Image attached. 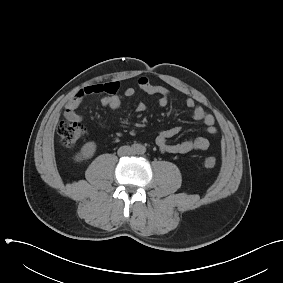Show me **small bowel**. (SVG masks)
<instances>
[{"label": "small bowel", "mask_w": 283, "mask_h": 283, "mask_svg": "<svg viewBox=\"0 0 283 283\" xmlns=\"http://www.w3.org/2000/svg\"><path fill=\"white\" fill-rule=\"evenodd\" d=\"M139 88L148 95H159L157 102L158 107H166L170 100V91L163 86L152 84L146 77L138 79ZM120 85L118 82H109L106 84H96L84 87L79 90L67 103L64 112V117L70 122H79L82 115L78 112V108L83 99L93 94H103L101 98L102 106L110 109L117 110L121 106L124 97L131 98L136 94L133 87H128L124 90L123 94L119 93ZM186 106L192 110V118L200 121L205 125V131L210 136L217 134L215 126V118L212 114L207 113L201 106L197 105L192 98H187L185 101ZM148 109L145 103H139L136 110L144 112ZM179 128L174 127L159 132L156 137V144L163 153L167 154H185L191 151H205L209 147V140L206 137H198L193 140H186L179 143H169V140L179 133Z\"/></svg>", "instance_id": "small-bowel-1"}]
</instances>
